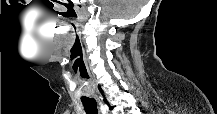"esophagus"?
I'll use <instances>...</instances> for the list:
<instances>
[{
  "label": "esophagus",
  "instance_id": "esophagus-1",
  "mask_svg": "<svg viewBox=\"0 0 217 114\" xmlns=\"http://www.w3.org/2000/svg\"><path fill=\"white\" fill-rule=\"evenodd\" d=\"M100 105H101V111H103V105H102V103L100 102Z\"/></svg>",
  "mask_w": 217,
  "mask_h": 114
}]
</instances>
